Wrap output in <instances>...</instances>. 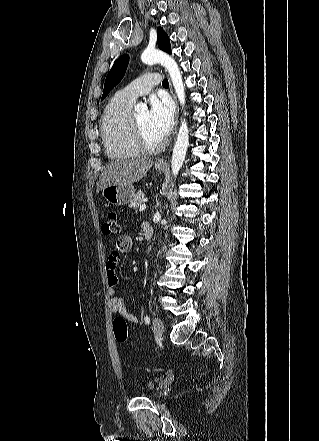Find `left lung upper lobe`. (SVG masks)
Returning <instances> with one entry per match:
<instances>
[{
  "label": "left lung upper lobe",
  "mask_w": 319,
  "mask_h": 441,
  "mask_svg": "<svg viewBox=\"0 0 319 441\" xmlns=\"http://www.w3.org/2000/svg\"><path fill=\"white\" fill-rule=\"evenodd\" d=\"M157 43L158 47L161 50L169 54L171 53V46L168 35L163 31L162 28H159L157 30ZM128 62L129 56L124 54L119 57V59L114 63L106 77L101 100H103L107 96V94L122 80L128 66Z\"/></svg>",
  "instance_id": "left-lung-upper-lobe-1"
}]
</instances>
